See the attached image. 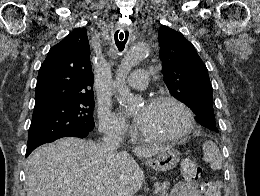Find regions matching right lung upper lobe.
<instances>
[{
	"instance_id": "right-lung-upper-lobe-1",
	"label": "right lung upper lobe",
	"mask_w": 260,
	"mask_h": 196,
	"mask_svg": "<svg viewBox=\"0 0 260 196\" xmlns=\"http://www.w3.org/2000/svg\"><path fill=\"white\" fill-rule=\"evenodd\" d=\"M85 28H77L53 46L43 62L35 90V105L58 96L93 93V73Z\"/></svg>"
}]
</instances>
